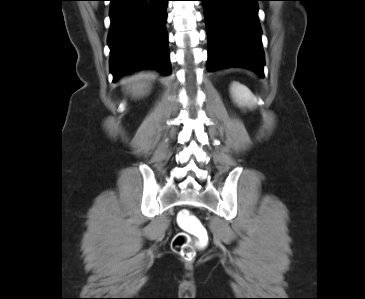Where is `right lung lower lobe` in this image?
Wrapping results in <instances>:
<instances>
[{
  "instance_id": "1",
  "label": "right lung lower lobe",
  "mask_w": 365,
  "mask_h": 299,
  "mask_svg": "<svg viewBox=\"0 0 365 299\" xmlns=\"http://www.w3.org/2000/svg\"><path fill=\"white\" fill-rule=\"evenodd\" d=\"M169 0H110V71L114 81L142 69L170 75L165 28Z\"/></svg>"
}]
</instances>
